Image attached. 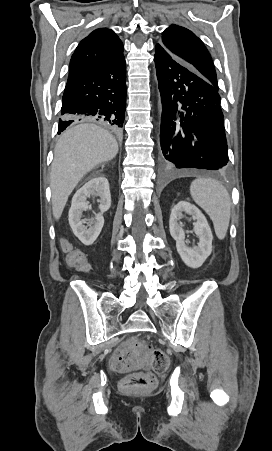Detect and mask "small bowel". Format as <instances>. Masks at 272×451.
<instances>
[{"label":"small bowel","instance_id":"1","mask_svg":"<svg viewBox=\"0 0 272 451\" xmlns=\"http://www.w3.org/2000/svg\"><path fill=\"white\" fill-rule=\"evenodd\" d=\"M141 343L142 341L137 335H130L127 340L118 345L113 356H118V348H137Z\"/></svg>","mask_w":272,"mask_h":451}]
</instances>
